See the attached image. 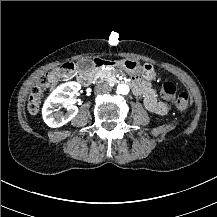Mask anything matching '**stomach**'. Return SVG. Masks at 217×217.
Returning a JSON list of instances; mask_svg holds the SVG:
<instances>
[{
	"label": "stomach",
	"instance_id": "0dacf381",
	"mask_svg": "<svg viewBox=\"0 0 217 217\" xmlns=\"http://www.w3.org/2000/svg\"><path fill=\"white\" fill-rule=\"evenodd\" d=\"M119 67L128 74H136L141 79L153 82L156 79V72L152 63H144L141 65L138 60L124 59L120 61Z\"/></svg>",
	"mask_w": 217,
	"mask_h": 217
}]
</instances>
